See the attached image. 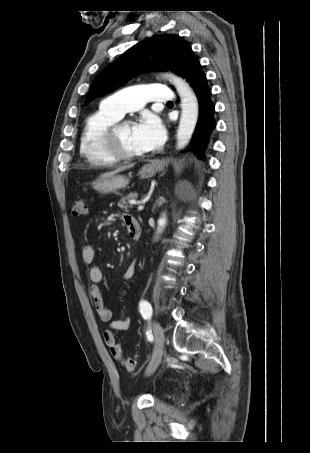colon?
I'll return each instance as SVG.
<instances>
[{
    "mask_svg": "<svg viewBox=\"0 0 310 453\" xmlns=\"http://www.w3.org/2000/svg\"><path fill=\"white\" fill-rule=\"evenodd\" d=\"M87 212V203L84 198H77L73 202L72 214L74 216H81ZM122 365L127 371H133L136 367V361L134 358H125L122 360Z\"/></svg>",
    "mask_w": 310,
    "mask_h": 453,
    "instance_id": "colon-1",
    "label": "colon"
}]
</instances>
